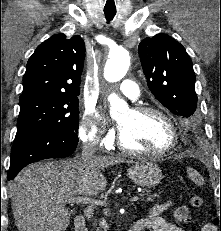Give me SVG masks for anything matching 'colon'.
<instances>
[{
    "label": "colon",
    "mask_w": 221,
    "mask_h": 231,
    "mask_svg": "<svg viewBox=\"0 0 221 231\" xmlns=\"http://www.w3.org/2000/svg\"><path fill=\"white\" fill-rule=\"evenodd\" d=\"M189 202L191 206L194 208H200L203 206V203H204L203 198L198 194H191L189 196Z\"/></svg>",
    "instance_id": "colon-1"
}]
</instances>
